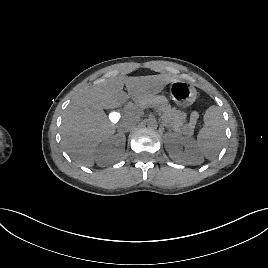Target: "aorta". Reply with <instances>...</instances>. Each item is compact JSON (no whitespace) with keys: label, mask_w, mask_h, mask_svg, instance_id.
I'll return each instance as SVG.
<instances>
[{"label":"aorta","mask_w":268,"mask_h":268,"mask_svg":"<svg viewBox=\"0 0 268 268\" xmlns=\"http://www.w3.org/2000/svg\"><path fill=\"white\" fill-rule=\"evenodd\" d=\"M146 124H147V127L150 128V129H157V127H158V122L154 117H149L147 119Z\"/></svg>","instance_id":"aorta-1"}]
</instances>
